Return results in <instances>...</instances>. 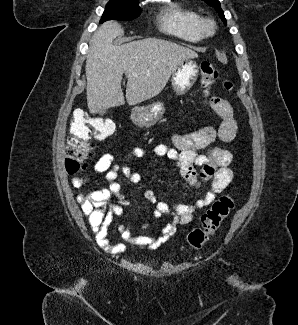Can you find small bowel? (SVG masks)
Returning a JSON list of instances; mask_svg holds the SVG:
<instances>
[{
	"instance_id": "1",
	"label": "small bowel",
	"mask_w": 298,
	"mask_h": 325,
	"mask_svg": "<svg viewBox=\"0 0 298 325\" xmlns=\"http://www.w3.org/2000/svg\"><path fill=\"white\" fill-rule=\"evenodd\" d=\"M209 105L221 118L218 128L206 126L187 134H173L171 138L173 146L159 144L153 149V163L157 164L161 158L165 157L174 161L181 176L191 186L198 187L204 182H208L210 185L209 191L194 204H178L173 207L163 201H158L154 191L147 190L144 196L155 206L154 216L159 218L162 215H169L173 218L172 222L162 228L158 236L134 235V227L120 225L118 232L125 243H114L109 240V227L114 218L122 216L124 206L129 205L120 191V184L116 182L117 177L122 174L130 182L139 183L142 181L143 175L132 171L129 166L119 163L115 155L111 153L102 155L93 164V171L104 174L109 184L101 189L79 193L76 200L80 204L83 214L87 217L96 242L102 250L111 254H120L127 249V244L131 247L157 249L176 234L178 225L189 223L197 210L210 205L217 195L222 193L231 183L233 172L230 168L232 162L230 151L220 147H212L206 154L198 152L208 148L216 140L225 143L231 142L237 132L233 108L227 100L213 96L209 100ZM145 155L146 151L137 147L127 155L126 159L142 158ZM88 182L87 176H77L71 180L75 189L85 187ZM147 229L148 223H143L139 228L142 232Z\"/></svg>"
}]
</instances>
